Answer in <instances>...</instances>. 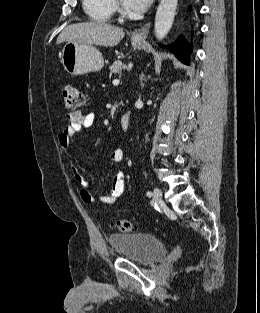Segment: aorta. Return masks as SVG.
<instances>
[{"instance_id":"1","label":"aorta","mask_w":260,"mask_h":313,"mask_svg":"<svg viewBox=\"0 0 260 313\" xmlns=\"http://www.w3.org/2000/svg\"><path fill=\"white\" fill-rule=\"evenodd\" d=\"M178 0H161L155 17V36L162 40L170 31Z\"/></svg>"}]
</instances>
